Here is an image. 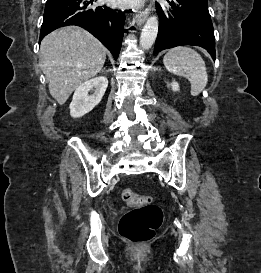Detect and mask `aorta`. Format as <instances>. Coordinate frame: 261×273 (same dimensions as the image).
<instances>
[{"instance_id":"762f6f07","label":"aorta","mask_w":261,"mask_h":273,"mask_svg":"<svg viewBox=\"0 0 261 273\" xmlns=\"http://www.w3.org/2000/svg\"><path fill=\"white\" fill-rule=\"evenodd\" d=\"M158 17L150 16L141 32L140 45L143 49L148 50L154 44L157 34H158Z\"/></svg>"}]
</instances>
